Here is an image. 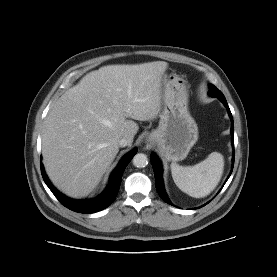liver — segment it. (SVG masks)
<instances>
[{
    "mask_svg": "<svg viewBox=\"0 0 277 277\" xmlns=\"http://www.w3.org/2000/svg\"><path fill=\"white\" fill-rule=\"evenodd\" d=\"M164 61L108 65L86 74L51 107L42 136L43 164L52 183L70 197L89 195L139 126L161 109ZM128 118V119H127Z\"/></svg>",
    "mask_w": 277,
    "mask_h": 277,
    "instance_id": "1",
    "label": "liver"
}]
</instances>
